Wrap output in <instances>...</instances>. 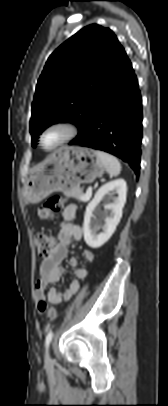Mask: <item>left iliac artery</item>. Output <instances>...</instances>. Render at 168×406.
<instances>
[{"mask_svg": "<svg viewBox=\"0 0 168 406\" xmlns=\"http://www.w3.org/2000/svg\"><path fill=\"white\" fill-rule=\"evenodd\" d=\"M52 338H53V332L50 331V332H48V334L46 335V338H45V347L46 348H48L50 342L52 341Z\"/></svg>", "mask_w": 168, "mask_h": 406, "instance_id": "44dca946", "label": "left iliac artery"}]
</instances>
